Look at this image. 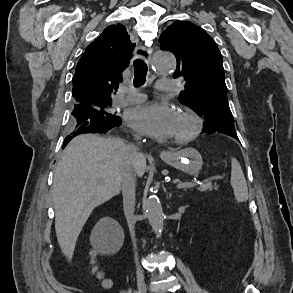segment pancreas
I'll return each instance as SVG.
<instances>
[{
    "instance_id": "obj_1",
    "label": "pancreas",
    "mask_w": 293,
    "mask_h": 293,
    "mask_svg": "<svg viewBox=\"0 0 293 293\" xmlns=\"http://www.w3.org/2000/svg\"><path fill=\"white\" fill-rule=\"evenodd\" d=\"M194 184V186L196 185L195 182H192ZM213 189H217V186L213 185L212 182L210 180H204L202 182V184H200L198 186V190L200 192H208V191H212Z\"/></svg>"
}]
</instances>
